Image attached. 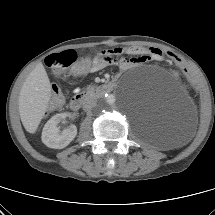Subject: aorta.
<instances>
[{"label": "aorta", "instance_id": "1", "mask_svg": "<svg viewBox=\"0 0 215 215\" xmlns=\"http://www.w3.org/2000/svg\"><path fill=\"white\" fill-rule=\"evenodd\" d=\"M99 103L103 109L113 108L115 103V96L109 94L106 97H103Z\"/></svg>", "mask_w": 215, "mask_h": 215}]
</instances>
